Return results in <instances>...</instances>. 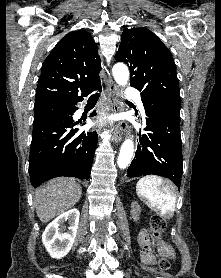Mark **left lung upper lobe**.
Instances as JSON below:
<instances>
[{
    "instance_id": "1",
    "label": "left lung upper lobe",
    "mask_w": 221,
    "mask_h": 278,
    "mask_svg": "<svg viewBox=\"0 0 221 278\" xmlns=\"http://www.w3.org/2000/svg\"><path fill=\"white\" fill-rule=\"evenodd\" d=\"M130 69V85L149 103L180 110L179 84L168 48L147 28L125 29L115 55Z\"/></svg>"
}]
</instances>
